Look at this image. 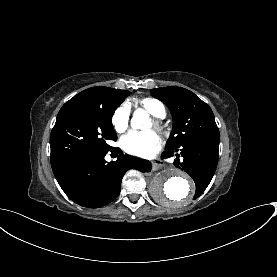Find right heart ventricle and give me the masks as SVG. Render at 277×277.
<instances>
[{
	"label": "right heart ventricle",
	"mask_w": 277,
	"mask_h": 277,
	"mask_svg": "<svg viewBox=\"0 0 277 277\" xmlns=\"http://www.w3.org/2000/svg\"><path fill=\"white\" fill-rule=\"evenodd\" d=\"M140 105L155 117H164L165 108L161 102L152 98H145L141 100Z\"/></svg>",
	"instance_id": "e07e8e85"
}]
</instances>
